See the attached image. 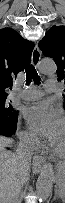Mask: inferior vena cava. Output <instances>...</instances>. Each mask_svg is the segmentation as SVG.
I'll return each mask as SVG.
<instances>
[{"label":"inferior vena cava","instance_id":"obj_1","mask_svg":"<svg viewBox=\"0 0 65 203\" xmlns=\"http://www.w3.org/2000/svg\"><path fill=\"white\" fill-rule=\"evenodd\" d=\"M34 142V137H25L20 140L15 157L17 158L18 162L20 163L19 171L21 174V179L14 183L12 193L8 199H0V203H19L18 202V194L21 189V185L27 179V172H28V164L31 161L32 153L30 150L31 143ZM2 196V195H1Z\"/></svg>","mask_w":65,"mask_h":203}]
</instances>
